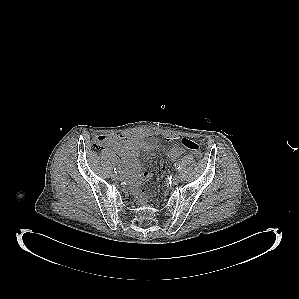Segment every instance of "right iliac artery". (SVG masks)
<instances>
[{"label": "right iliac artery", "instance_id": "right-iliac-artery-1", "mask_svg": "<svg viewBox=\"0 0 299 299\" xmlns=\"http://www.w3.org/2000/svg\"><path fill=\"white\" fill-rule=\"evenodd\" d=\"M114 172L117 173V172H118V169L114 168Z\"/></svg>", "mask_w": 299, "mask_h": 299}]
</instances>
